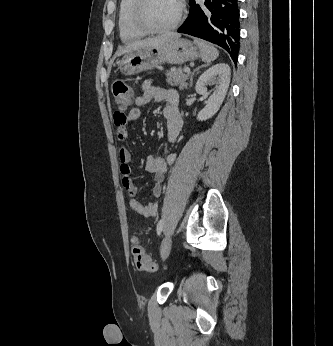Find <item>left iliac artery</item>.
<instances>
[{
    "mask_svg": "<svg viewBox=\"0 0 333 346\" xmlns=\"http://www.w3.org/2000/svg\"><path fill=\"white\" fill-rule=\"evenodd\" d=\"M163 220H160L159 222H158V225H157V233H158V235L162 232V230H163Z\"/></svg>",
    "mask_w": 333,
    "mask_h": 346,
    "instance_id": "obj_1",
    "label": "left iliac artery"
}]
</instances>
